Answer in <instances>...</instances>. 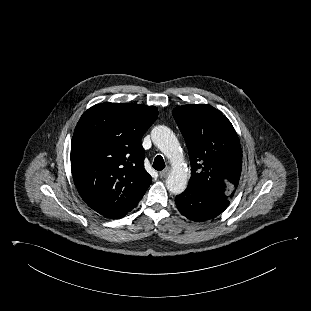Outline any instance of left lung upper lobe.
<instances>
[{
	"instance_id": "obj_1",
	"label": "left lung upper lobe",
	"mask_w": 311,
	"mask_h": 311,
	"mask_svg": "<svg viewBox=\"0 0 311 311\" xmlns=\"http://www.w3.org/2000/svg\"><path fill=\"white\" fill-rule=\"evenodd\" d=\"M173 117L189 152V184L231 199L242 167L241 146L231 122L207 104L178 106L173 109Z\"/></svg>"
}]
</instances>
